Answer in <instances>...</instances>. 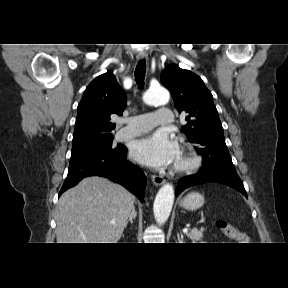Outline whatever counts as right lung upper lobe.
Returning <instances> with one entry per match:
<instances>
[{"mask_svg":"<svg viewBox=\"0 0 288 288\" xmlns=\"http://www.w3.org/2000/svg\"><path fill=\"white\" fill-rule=\"evenodd\" d=\"M126 95L112 73L96 77L84 91L78 105L73 147L95 142L110 136L115 129L111 114L122 115Z\"/></svg>","mask_w":288,"mask_h":288,"instance_id":"cb5924a9","label":"right lung upper lobe"}]
</instances>
